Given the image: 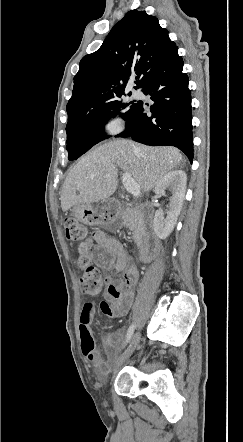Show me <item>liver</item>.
<instances>
[{
    "instance_id": "1",
    "label": "liver",
    "mask_w": 243,
    "mask_h": 442,
    "mask_svg": "<svg viewBox=\"0 0 243 442\" xmlns=\"http://www.w3.org/2000/svg\"><path fill=\"white\" fill-rule=\"evenodd\" d=\"M182 161L174 147H150L130 140L102 144L70 170L61 191L62 210L109 198L117 189L118 168L130 173L142 190L150 191Z\"/></svg>"
}]
</instances>
